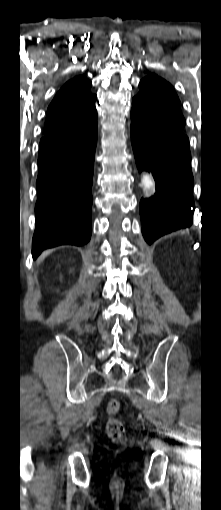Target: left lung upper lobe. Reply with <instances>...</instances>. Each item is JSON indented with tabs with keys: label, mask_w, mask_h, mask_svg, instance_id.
Segmentation results:
<instances>
[{
	"label": "left lung upper lobe",
	"mask_w": 221,
	"mask_h": 510,
	"mask_svg": "<svg viewBox=\"0 0 221 510\" xmlns=\"http://www.w3.org/2000/svg\"><path fill=\"white\" fill-rule=\"evenodd\" d=\"M140 91L133 98V107L164 133L188 144L184 135L185 119L174 88L166 80L150 74L140 81Z\"/></svg>",
	"instance_id": "5c2ea615"
}]
</instances>
